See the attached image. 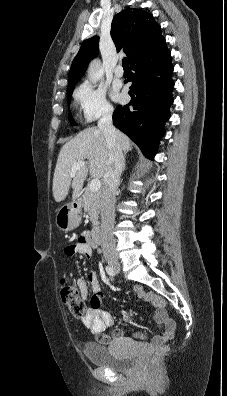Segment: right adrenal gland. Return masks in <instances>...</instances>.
I'll return each mask as SVG.
<instances>
[{
	"instance_id": "right-adrenal-gland-1",
	"label": "right adrenal gland",
	"mask_w": 227,
	"mask_h": 396,
	"mask_svg": "<svg viewBox=\"0 0 227 396\" xmlns=\"http://www.w3.org/2000/svg\"><path fill=\"white\" fill-rule=\"evenodd\" d=\"M125 163H126V160H125V156H124V159H123V167H122V172H124V170H125Z\"/></svg>"
}]
</instances>
